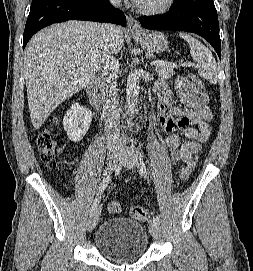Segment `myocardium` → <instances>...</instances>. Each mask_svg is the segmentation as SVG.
Masks as SVG:
<instances>
[{
  "label": "myocardium",
  "mask_w": 253,
  "mask_h": 271,
  "mask_svg": "<svg viewBox=\"0 0 253 271\" xmlns=\"http://www.w3.org/2000/svg\"><path fill=\"white\" fill-rule=\"evenodd\" d=\"M174 2L175 0H162L160 3L155 5H138L137 9L142 14L156 16L168 12L173 7Z\"/></svg>",
  "instance_id": "1"
}]
</instances>
